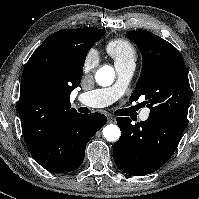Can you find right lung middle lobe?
Segmentation results:
<instances>
[{
	"label": "right lung middle lobe",
	"mask_w": 199,
	"mask_h": 199,
	"mask_svg": "<svg viewBox=\"0 0 199 199\" xmlns=\"http://www.w3.org/2000/svg\"><path fill=\"white\" fill-rule=\"evenodd\" d=\"M105 34V30L101 33L92 32L87 35H84L82 38V54L84 55V58L87 54V51L93 46L95 42H97L103 35Z\"/></svg>",
	"instance_id": "1"
}]
</instances>
